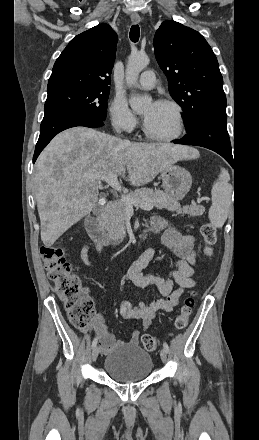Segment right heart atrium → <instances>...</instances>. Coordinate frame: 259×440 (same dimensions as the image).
<instances>
[{
    "mask_svg": "<svg viewBox=\"0 0 259 440\" xmlns=\"http://www.w3.org/2000/svg\"><path fill=\"white\" fill-rule=\"evenodd\" d=\"M109 117L113 128L120 132H132L138 125V120L129 108L127 101L119 96L112 99L108 107Z\"/></svg>",
    "mask_w": 259,
    "mask_h": 440,
    "instance_id": "right-heart-atrium-1",
    "label": "right heart atrium"
}]
</instances>
